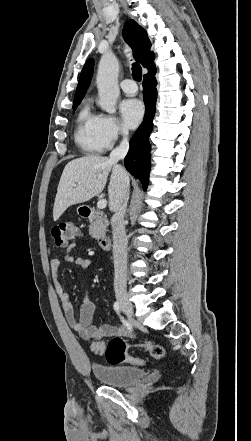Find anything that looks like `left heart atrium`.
Instances as JSON below:
<instances>
[{
	"mask_svg": "<svg viewBox=\"0 0 251 441\" xmlns=\"http://www.w3.org/2000/svg\"><path fill=\"white\" fill-rule=\"evenodd\" d=\"M123 124L127 128H135L144 116V106L138 99H125L120 103Z\"/></svg>",
	"mask_w": 251,
	"mask_h": 441,
	"instance_id": "39dd6f15",
	"label": "left heart atrium"
}]
</instances>
